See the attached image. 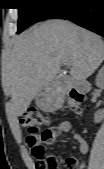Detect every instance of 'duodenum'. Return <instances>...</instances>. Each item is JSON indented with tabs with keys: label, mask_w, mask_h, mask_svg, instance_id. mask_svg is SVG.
<instances>
[{
	"label": "duodenum",
	"mask_w": 104,
	"mask_h": 169,
	"mask_svg": "<svg viewBox=\"0 0 104 169\" xmlns=\"http://www.w3.org/2000/svg\"><path fill=\"white\" fill-rule=\"evenodd\" d=\"M75 87L81 94H87L90 90V84L87 81H79Z\"/></svg>",
	"instance_id": "1"
}]
</instances>
